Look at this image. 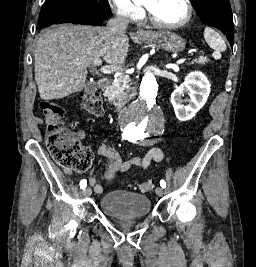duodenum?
Wrapping results in <instances>:
<instances>
[{
    "instance_id": "obj_1",
    "label": "duodenum",
    "mask_w": 256,
    "mask_h": 267,
    "mask_svg": "<svg viewBox=\"0 0 256 267\" xmlns=\"http://www.w3.org/2000/svg\"><path fill=\"white\" fill-rule=\"evenodd\" d=\"M110 80L107 77H101L97 81L98 88L100 90H106L109 87ZM129 100H132V97H129ZM124 104H127V99H120V102H114V112L119 111Z\"/></svg>"
}]
</instances>
